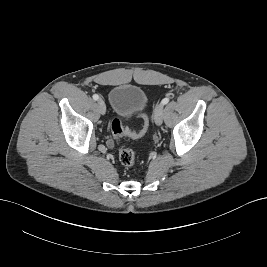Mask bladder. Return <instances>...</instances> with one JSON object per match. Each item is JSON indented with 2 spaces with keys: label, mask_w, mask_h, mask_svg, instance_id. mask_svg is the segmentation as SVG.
I'll list each match as a JSON object with an SVG mask.
<instances>
[{
  "label": "bladder",
  "mask_w": 267,
  "mask_h": 267,
  "mask_svg": "<svg viewBox=\"0 0 267 267\" xmlns=\"http://www.w3.org/2000/svg\"><path fill=\"white\" fill-rule=\"evenodd\" d=\"M108 100L112 112L123 118L143 112L148 104L145 91L131 84L113 87L109 92Z\"/></svg>",
  "instance_id": "bladder-1"
}]
</instances>
